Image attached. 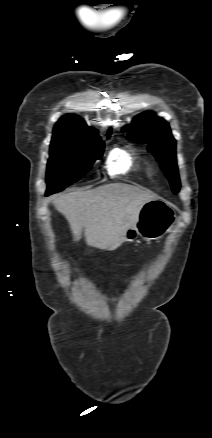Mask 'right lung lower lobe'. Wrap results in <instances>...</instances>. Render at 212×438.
<instances>
[{
	"mask_svg": "<svg viewBox=\"0 0 212 438\" xmlns=\"http://www.w3.org/2000/svg\"><path fill=\"white\" fill-rule=\"evenodd\" d=\"M50 194H52L51 191H48V190H47L46 195L48 196V195H50Z\"/></svg>",
	"mask_w": 212,
	"mask_h": 438,
	"instance_id": "obj_1",
	"label": "right lung lower lobe"
}]
</instances>
